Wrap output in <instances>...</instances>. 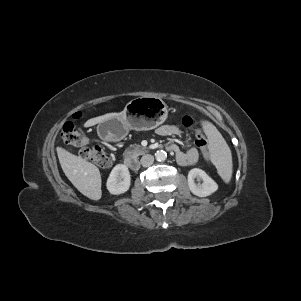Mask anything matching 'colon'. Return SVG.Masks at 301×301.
I'll list each match as a JSON object with an SVG mask.
<instances>
[{
  "mask_svg": "<svg viewBox=\"0 0 301 301\" xmlns=\"http://www.w3.org/2000/svg\"><path fill=\"white\" fill-rule=\"evenodd\" d=\"M80 115H75L74 118H79ZM182 124L185 127L193 128L195 131V144L198 146L204 157L208 158V143L204 133L196 127L195 121L190 116H185L182 119ZM62 140L71 146L80 148V156L100 168H107L111 164V160L105 151L99 146L88 147V138L85 133L79 129L72 121L66 122L61 130Z\"/></svg>",
  "mask_w": 301,
  "mask_h": 301,
  "instance_id": "5ec220e1",
  "label": "colon"
}]
</instances>
